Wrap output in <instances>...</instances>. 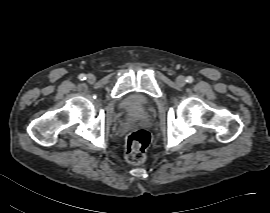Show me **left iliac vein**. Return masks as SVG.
Here are the masks:
<instances>
[{
	"instance_id": "obj_1",
	"label": "left iliac vein",
	"mask_w": 270,
	"mask_h": 213,
	"mask_svg": "<svg viewBox=\"0 0 270 213\" xmlns=\"http://www.w3.org/2000/svg\"><path fill=\"white\" fill-rule=\"evenodd\" d=\"M176 83L179 85V86H183L185 84V78L183 76H178L176 78Z\"/></svg>"
}]
</instances>
